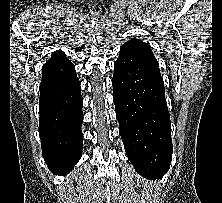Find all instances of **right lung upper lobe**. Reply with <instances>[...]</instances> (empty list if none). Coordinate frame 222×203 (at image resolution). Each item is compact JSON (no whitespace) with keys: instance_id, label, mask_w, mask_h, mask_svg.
Wrapping results in <instances>:
<instances>
[{"instance_id":"obj_1","label":"right lung upper lobe","mask_w":222,"mask_h":203,"mask_svg":"<svg viewBox=\"0 0 222 203\" xmlns=\"http://www.w3.org/2000/svg\"><path fill=\"white\" fill-rule=\"evenodd\" d=\"M65 58H66L65 53L59 50L54 52L49 60L65 59Z\"/></svg>"}]
</instances>
